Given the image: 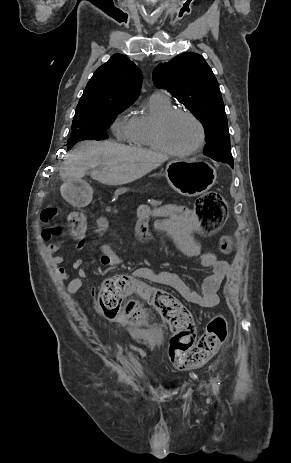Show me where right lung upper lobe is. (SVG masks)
I'll use <instances>...</instances> for the list:
<instances>
[{
	"mask_svg": "<svg viewBox=\"0 0 291 463\" xmlns=\"http://www.w3.org/2000/svg\"><path fill=\"white\" fill-rule=\"evenodd\" d=\"M142 84L140 69L122 54H114L87 83L75 114L92 111L106 102L132 104Z\"/></svg>",
	"mask_w": 291,
	"mask_h": 463,
	"instance_id": "obj_1",
	"label": "right lung upper lobe"
}]
</instances>
